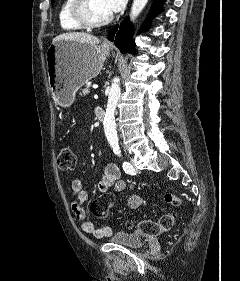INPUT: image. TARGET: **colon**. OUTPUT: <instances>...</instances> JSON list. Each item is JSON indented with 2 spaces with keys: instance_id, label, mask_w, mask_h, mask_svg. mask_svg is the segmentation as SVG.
Instances as JSON below:
<instances>
[{
  "instance_id": "obj_1",
  "label": "colon",
  "mask_w": 240,
  "mask_h": 281,
  "mask_svg": "<svg viewBox=\"0 0 240 281\" xmlns=\"http://www.w3.org/2000/svg\"><path fill=\"white\" fill-rule=\"evenodd\" d=\"M57 164L62 171H73L76 167V156L74 152L68 147L61 149L57 158ZM165 200L174 207H179L183 203V200L173 193H167L165 195ZM112 203L113 200L110 195H101L91 203V212L95 217L105 219L109 214ZM176 217V211L171 210L157 221L142 220L138 222L136 228L144 234L157 235L171 229L175 224Z\"/></svg>"
}]
</instances>
